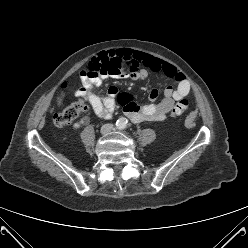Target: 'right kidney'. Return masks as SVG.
<instances>
[{
  "instance_id": "1",
  "label": "right kidney",
  "mask_w": 248,
  "mask_h": 248,
  "mask_svg": "<svg viewBox=\"0 0 248 248\" xmlns=\"http://www.w3.org/2000/svg\"><path fill=\"white\" fill-rule=\"evenodd\" d=\"M83 124V120L76 122L73 124V128L74 129H79L81 127V125Z\"/></svg>"
}]
</instances>
